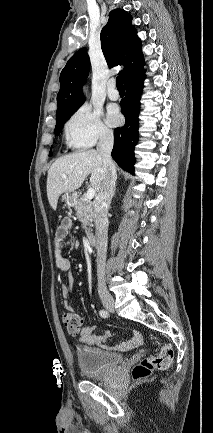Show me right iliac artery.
I'll list each match as a JSON object with an SVG mask.
<instances>
[{
    "label": "right iliac artery",
    "mask_w": 213,
    "mask_h": 433,
    "mask_svg": "<svg viewBox=\"0 0 213 433\" xmlns=\"http://www.w3.org/2000/svg\"><path fill=\"white\" fill-rule=\"evenodd\" d=\"M99 315L101 316V317H103V318H107L108 317V312L106 311V310H100L99 311Z\"/></svg>",
    "instance_id": "82829eb1"
}]
</instances>
